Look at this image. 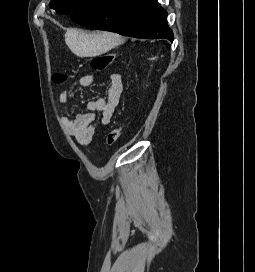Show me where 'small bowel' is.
<instances>
[{
  "label": "small bowel",
  "mask_w": 255,
  "mask_h": 272,
  "mask_svg": "<svg viewBox=\"0 0 255 272\" xmlns=\"http://www.w3.org/2000/svg\"><path fill=\"white\" fill-rule=\"evenodd\" d=\"M95 78L91 74L80 78L78 86L80 88L89 87ZM124 82L120 72H112L108 76V88L105 98H96L87 103V112L77 114L74 117L63 116L62 122L68 133L80 144L87 146L91 143L96 130V113L101 114V123L107 125L113 117L121 96L123 94ZM68 91L60 94V101L67 103Z\"/></svg>",
  "instance_id": "small-bowel-1"
}]
</instances>
